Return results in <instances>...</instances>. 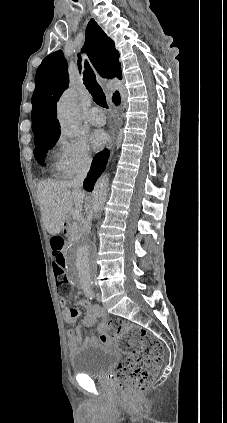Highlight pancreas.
<instances>
[{
  "label": "pancreas",
  "mask_w": 227,
  "mask_h": 423,
  "mask_svg": "<svg viewBox=\"0 0 227 423\" xmlns=\"http://www.w3.org/2000/svg\"><path fill=\"white\" fill-rule=\"evenodd\" d=\"M86 225V221H73V223H70L69 229L71 231L70 239L74 241V239H78V237H81Z\"/></svg>",
  "instance_id": "cf45deb5"
}]
</instances>
